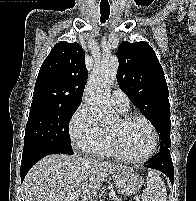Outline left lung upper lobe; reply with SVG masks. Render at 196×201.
<instances>
[{"label":"left lung upper lobe","mask_w":196,"mask_h":201,"mask_svg":"<svg viewBox=\"0 0 196 201\" xmlns=\"http://www.w3.org/2000/svg\"><path fill=\"white\" fill-rule=\"evenodd\" d=\"M117 80L131 102L152 122L159 133L160 150L170 148V106L163 69L152 47L145 41H123Z\"/></svg>","instance_id":"5c2ea615"}]
</instances>
